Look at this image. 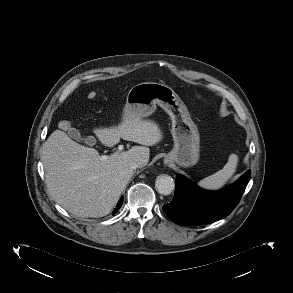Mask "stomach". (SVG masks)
<instances>
[{
  "instance_id": "obj_1",
  "label": "stomach",
  "mask_w": 293,
  "mask_h": 293,
  "mask_svg": "<svg viewBox=\"0 0 293 293\" xmlns=\"http://www.w3.org/2000/svg\"><path fill=\"white\" fill-rule=\"evenodd\" d=\"M160 106L171 118L173 149L166 155L165 163L191 167L199 160L200 137L189 111L175 91L161 83L144 82L133 86L126 98L123 120L152 115Z\"/></svg>"
}]
</instances>
